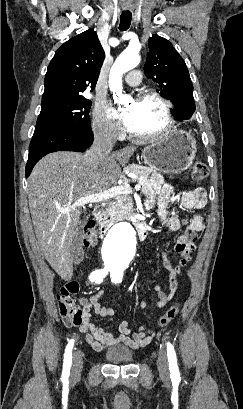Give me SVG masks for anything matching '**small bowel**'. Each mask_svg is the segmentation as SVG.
<instances>
[{
	"mask_svg": "<svg viewBox=\"0 0 243 409\" xmlns=\"http://www.w3.org/2000/svg\"><path fill=\"white\" fill-rule=\"evenodd\" d=\"M148 196L147 207L156 209V213L161 223L172 231H177L181 227V220L178 216L167 217L166 207L173 193L170 184L163 182L159 176H154L144 187ZM207 193L204 188L184 192L180 197V204L185 209H198L206 204ZM204 229V222L200 216H193L183 235H181L175 244V251L179 255V260L175 266L171 264L165 253L162 254L163 266L168 271L169 292L163 291L162 286L156 285L154 293L156 296L155 306L164 307L175 295L178 290L177 277L182 274L183 268L187 265L193 252L197 235ZM104 291L99 290L89 299L80 298L79 303L83 308V321L79 325V330L86 335L87 342L96 351H101L107 346L123 344L133 349L147 346L152 341L155 333L141 325L136 331H132L129 324L117 319L112 308L102 305L101 300ZM149 306L147 301H141L139 307L146 309ZM99 316L101 320L115 319L116 327L119 332L114 335L105 325L94 324L90 321L92 313Z\"/></svg>",
	"mask_w": 243,
	"mask_h": 409,
	"instance_id": "small-bowel-1",
	"label": "small bowel"
}]
</instances>
